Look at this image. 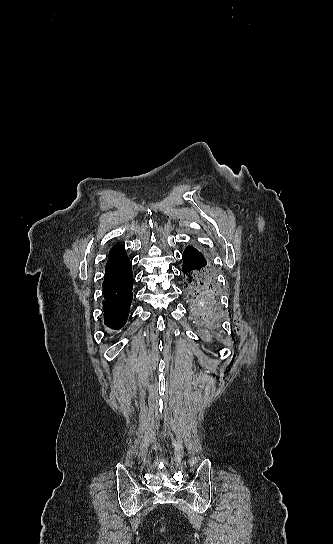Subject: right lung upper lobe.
<instances>
[{
	"label": "right lung upper lobe",
	"mask_w": 333,
	"mask_h": 544,
	"mask_svg": "<svg viewBox=\"0 0 333 544\" xmlns=\"http://www.w3.org/2000/svg\"><path fill=\"white\" fill-rule=\"evenodd\" d=\"M130 263L124 247L116 244L112 247L108 255V261L105 267V279L117 274Z\"/></svg>",
	"instance_id": "1"
}]
</instances>
